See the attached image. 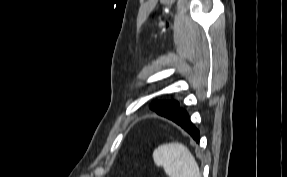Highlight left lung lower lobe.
<instances>
[{"label":"left lung lower lobe","instance_id":"0a47b994","mask_svg":"<svg viewBox=\"0 0 287 177\" xmlns=\"http://www.w3.org/2000/svg\"><path fill=\"white\" fill-rule=\"evenodd\" d=\"M178 103V102H177ZM178 125H180L187 133H189L196 142H199V131L196 127L191 123L190 118L187 113L183 109H179L172 115L164 116Z\"/></svg>","mask_w":287,"mask_h":177}]
</instances>
